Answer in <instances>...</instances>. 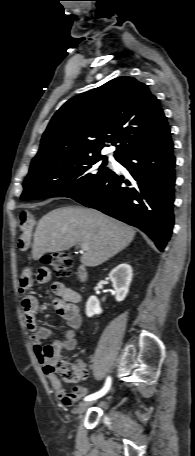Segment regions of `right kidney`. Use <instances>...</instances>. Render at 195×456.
<instances>
[{"mask_svg":"<svg viewBox=\"0 0 195 456\" xmlns=\"http://www.w3.org/2000/svg\"><path fill=\"white\" fill-rule=\"evenodd\" d=\"M132 267L127 263L119 264L110 273L109 278L115 290V299L117 302L123 301L128 292L132 281ZM86 315L92 317L102 313L100 302L96 296H90L86 303Z\"/></svg>","mask_w":195,"mask_h":456,"instance_id":"obj_1","label":"right kidney"}]
</instances>
